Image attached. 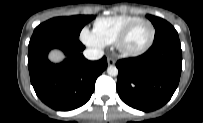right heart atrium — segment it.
<instances>
[{"mask_svg":"<svg viewBox=\"0 0 203 123\" xmlns=\"http://www.w3.org/2000/svg\"><path fill=\"white\" fill-rule=\"evenodd\" d=\"M81 40L88 46L101 48L103 44L96 38L94 33L88 28H83L80 34Z\"/></svg>","mask_w":203,"mask_h":123,"instance_id":"right-heart-atrium-1","label":"right heart atrium"}]
</instances>
